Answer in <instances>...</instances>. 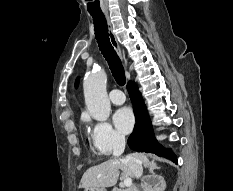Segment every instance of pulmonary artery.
<instances>
[{"label":"pulmonary artery","mask_w":233,"mask_h":191,"mask_svg":"<svg viewBox=\"0 0 233 191\" xmlns=\"http://www.w3.org/2000/svg\"><path fill=\"white\" fill-rule=\"evenodd\" d=\"M109 99L113 104L116 105H121L126 100L124 93L119 89L111 90L109 93Z\"/></svg>","instance_id":"1"}]
</instances>
